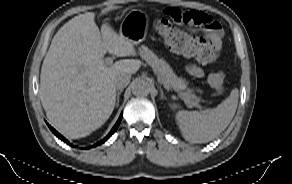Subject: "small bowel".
Listing matches in <instances>:
<instances>
[{"mask_svg": "<svg viewBox=\"0 0 292 184\" xmlns=\"http://www.w3.org/2000/svg\"><path fill=\"white\" fill-rule=\"evenodd\" d=\"M213 23H214L213 27L204 28V35L209 41H211L215 45V47L218 50H220L221 47H222L223 32H222L221 26H220V24L218 22L213 20ZM187 71L192 76L198 77V78H200V77H202L204 75L203 70L199 66H197L195 64L188 65L187 66Z\"/></svg>", "mask_w": 292, "mask_h": 184, "instance_id": "c3829d8e", "label": "small bowel"}]
</instances>
